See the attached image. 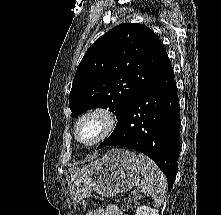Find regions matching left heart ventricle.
<instances>
[{
  "label": "left heart ventricle",
  "instance_id": "obj_1",
  "mask_svg": "<svg viewBox=\"0 0 221 215\" xmlns=\"http://www.w3.org/2000/svg\"><path fill=\"white\" fill-rule=\"evenodd\" d=\"M101 129V122L97 118H89L79 129V137L83 142H89L96 137Z\"/></svg>",
  "mask_w": 221,
  "mask_h": 215
}]
</instances>
